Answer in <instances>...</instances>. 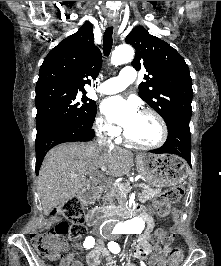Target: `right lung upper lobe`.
I'll use <instances>...</instances> for the list:
<instances>
[{
    "instance_id": "right-lung-upper-lobe-1",
    "label": "right lung upper lobe",
    "mask_w": 221,
    "mask_h": 266,
    "mask_svg": "<svg viewBox=\"0 0 221 266\" xmlns=\"http://www.w3.org/2000/svg\"><path fill=\"white\" fill-rule=\"evenodd\" d=\"M101 65L102 56L94 46L92 24L86 22L45 57L36 89L66 87L84 90L85 84L91 85L88 76L96 78Z\"/></svg>"
}]
</instances>
